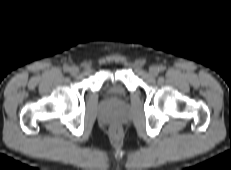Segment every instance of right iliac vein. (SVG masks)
<instances>
[{
  "mask_svg": "<svg viewBox=\"0 0 231 170\" xmlns=\"http://www.w3.org/2000/svg\"><path fill=\"white\" fill-rule=\"evenodd\" d=\"M69 71L72 75H77L79 73V68L77 66H72Z\"/></svg>",
  "mask_w": 231,
  "mask_h": 170,
  "instance_id": "obj_1",
  "label": "right iliac vein"
}]
</instances>
